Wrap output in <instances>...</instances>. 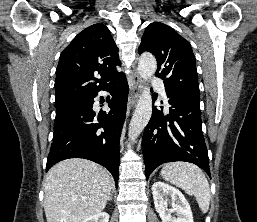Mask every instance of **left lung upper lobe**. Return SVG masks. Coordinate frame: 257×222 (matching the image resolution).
<instances>
[{
  "label": "left lung upper lobe",
  "mask_w": 257,
  "mask_h": 222,
  "mask_svg": "<svg viewBox=\"0 0 257 222\" xmlns=\"http://www.w3.org/2000/svg\"><path fill=\"white\" fill-rule=\"evenodd\" d=\"M151 52L157 60L156 76L165 88L199 100L196 60L187 40L171 27L154 22L147 26L139 53Z\"/></svg>",
  "instance_id": "obj_1"
}]
</instances>
